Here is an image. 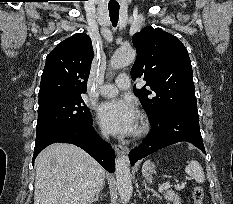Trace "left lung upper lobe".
Returning <instances> with one entry per match:
<instances>
[{"label":"left lung upper lobe","mask_w":233,"mask_h":204,"mask_svg":"<svg viewBox=\"0 0 233 204\" xmlns=\"http://www.w3.org/2000/svg\"><path fill=\"white\" fill-rule=\"evenodd\" d=\"M133 44L132 78L146 81L134 92L150 119L168 112L198 114L192 66L182 42L160 28L145 27L133 35Z\"/></svg>","instance_id":"obj_1"}]
</instances>
